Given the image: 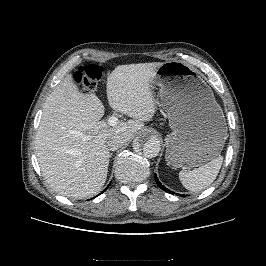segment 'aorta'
Instances as JSON below:
<instances>
[{
    "instance_id": "aorta-1",
    "label": "aorta",
    "mask_w": 266,
    "mask_h": 266,
    "mask_svg": "<svg viewBox=\"0 0 266 266\" xmlns=\"http://www.w3.org/2000/svg\"><path fill=\"white\" fill-rule=\"evenodd\" d=\"M134 149L142 151L147 158H154L160 152L161 142L157 136L146 131L138 137L134 143Z\"/></svg>"
}]
</instances>
